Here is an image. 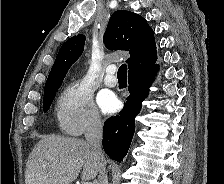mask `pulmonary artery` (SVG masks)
I'll return each mask as SVG.
<instances>
[{"label": "pulmonary artery", "mask_w": 224, "mask_h": 184, "mask_svg": "<svg viewBox=\"0 0 224 184\" xmlns=\"http://www.w3.org/2000/svg\"><path fill=\"white\" fill-rule=\"evenodd\" d=\"M116 71V67L114 65H110L106 70V75L104 78V84L108 87H115L117 85V79L114 76Z\"/></svg>", "instance_id": "e3ab8cb5"}]
</instances>
